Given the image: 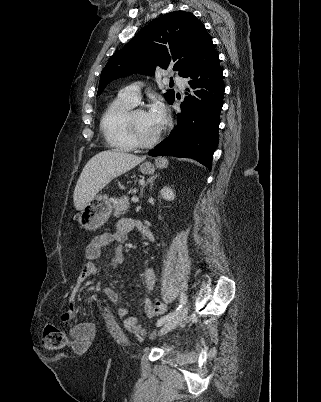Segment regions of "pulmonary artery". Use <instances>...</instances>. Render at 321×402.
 Listing matches in <instances>:
<instances>
[{
    "label": "pulmonary artery",
    "instance_id": "1",
    "mask_svg": "<svg viewBox=\"0 0 321 402\" xmlns=\"http://www.w3.org/2000/svg\"><path fill=\"white\" fill-rule=\"evenodd\" d=\"M172 80H173L175 83H177V84L180 86V88H181L182 90L184 89L185 84H186V80H185L183 77L176 75V76H174V77L172 78ZM118 97H119L120 99H122V100H125V101H127V102L132 103L133 105H136V104L139 102V100H140V91H139V88H138L137 85H130V86H127V87L123 88V89L120 91Z\"/></svg>",
    "mask_w": 321,
    "mask_h": 402
}]
</instances>
